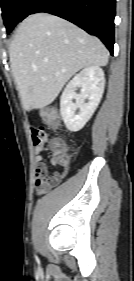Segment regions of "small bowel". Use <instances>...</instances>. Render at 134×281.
Segmentation results:
<instances>
[{"instance_id":"1","label":"small bowel","mask_w":134,"mask_h":281,"mask_svg":"<svg viewBox=\"0 0 134 281\" xmlns=\"http://www.w3.org/2000/svg\"><path fill=\"white\" fill-rule=\"evenodd\" d=\"M49 140V134L43 126L32 128V142L34 145L35 153V187L39 195L49 192L52 188L56 187L65 173L54 172L49 174L48 165L41 156L44 145ZM51 165L54 167L58 164L57 160L52 156L50 159Z\"/></svg>"}]
</instances>
